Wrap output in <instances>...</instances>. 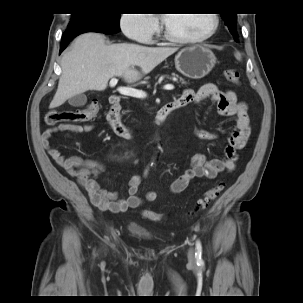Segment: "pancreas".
Listing matches in <instances>:
<instances>
[{"label": "pancreas", "mask_w": 303, "mask_h": 303, "mask_svg": "<svg viewBox=\"0 0 303 303\" xmlns=\"http://www.w3.org/2000/svg\"><path fill=\"white\" fill-rule=\"evenodd\" d=\"M172 75L174 76V78L179 79L181 84H183V85L187 84V82L182 77H180L179 75L174 74V73Z\"/></svg>", "instance_id": "obj_1"}]
</instances>
